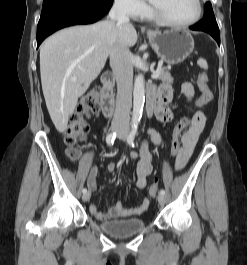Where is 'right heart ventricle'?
<instances>
[{"label":"right heart ventricle","mask_w":247,"mask_h":265,"mask_svg":"<svg viewBox=\"0 0 247 265\" xmlns=\"http://www.w3.org/2000/svg\"><path fill=\"white\" fill-rule=\"evenodd\" d=\"M142 17H144V18H150L151 16H150V14L146 11V13H145Z\"/></svg>","instance_id":"e07e8e85"}]
</instances>
